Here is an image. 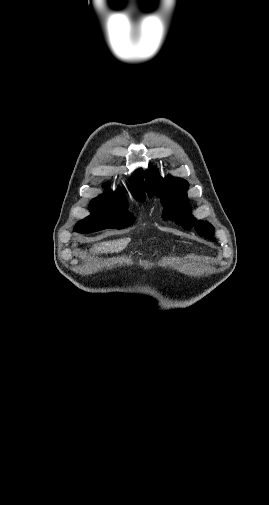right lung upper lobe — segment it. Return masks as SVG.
<instances>
[{"label": "right lung upper lobe", "instance_id": "1", "mask_svg": "<svg viewBox=\"0 0 269 505\" xmlns=\"http://www.w3.org/2000/svg\"><path fill=\"white\" fill-rule=\"evenodd\" d=\"M130 189L132 190L133 196L139 200H145L144 193V185H143V172L141 169H138L130 180ZM93 201H110V202H119L125 201L124 194L122 190L119 188L117 191H107L103 195L93 199Z\"/></svg>", "mask_w": 269, "mask_h": 505}]
</instances>
